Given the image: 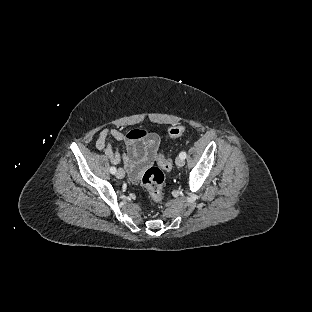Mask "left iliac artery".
Instances as JSON below:
<instances>
[{
  "label": "left iliac artery",
  "mask_w": 312,
  "mask_h": 312,
  "mask_svg": "<svg viewBox=\"0 0 312 312\" xmlns=\"http://www.w3.org/2000/svg\"><path fill=\"white\" fill-rule=\"evenodd\" d=\"M179 156L182 158V159H185L186 158V152H181L179 154Z\"/></svg>",
  "instance_id": "left-iliac-artery-1"
}]
</instances>
